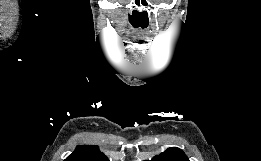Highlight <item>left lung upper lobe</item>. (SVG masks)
I'll use <instances>...</instances> for the list:
<instances>
[{
  "mask_svg": "<svg viewBox=\"0 0 261 161\" xmlns=\"http://www.w3.org/2000/svg\"><path fill=\"white\" fill-rule=\"evenodd\" d=\"M151 161H189L183 151L179 148H169Z\"/></svg>",
  "mask_w": 261,
  "mask_h": 161,
  "instance_id": "1",
  "label": "left lung upper lobe"
}]
</instances>
